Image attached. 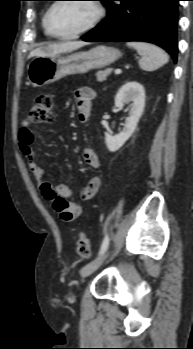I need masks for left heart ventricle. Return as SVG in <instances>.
Wrapping results in <instances>:
<instances>
[{
    "label": "left heart ventricle",
    "mask_w": 193,
    "mask_h": 349,
    "mask_svg": "<svg viewBox=\"0 0 193 349\" xmlns=\"http://www.w3.org/2000/svg\"><path fill=\"white\" fill-rule=\"evenodd\" d=\"M96 16L91 2H64L51 14V26L61 35L73 34L89 25Z\"/></svg>",
    "instance_id": "obj_1"
}]
</instances>
